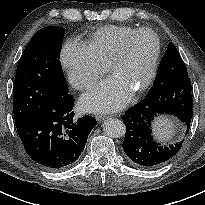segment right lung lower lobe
<instances>
[{"label":"right lung lower lobe","instance_id":"1","mask_svg":"<svg viewBox=\"0 0 205 205\" xmlns=\"http://www.w3.org/2000/svg\"><path fill=\"white\" fill-rule=\"evenodd\" d=\"M73 104L67 94L41 106L16 126L27 154L50 170L74 165L97 125L91 116L74 119Z\"/></svg>","mask_w":205,"mask_h":205}]
</instances>
